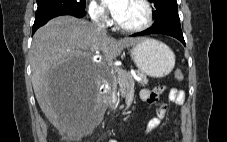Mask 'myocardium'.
<instances>
[{
  "mask_svg": "<svg viewBox=\"0 0 227 142\" xmlns=\"http://www.w3.org/2000/svg\"><path fill=\"white\" fill-rule=\"evenodd\" d=\"M139 2L143 5L145 9V19L144 21L135 26H125L120 24L117 20L115 21V27L123 32L127 33H136V32H141L149 28L154 20V9L149 0H139Z\"/></svg>",
  "mask_w": 227,
  "mask_h": 142,
  "instance_id": "f54148a6",
  "label": "myocardium"
}]
</instances>
